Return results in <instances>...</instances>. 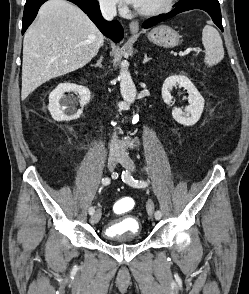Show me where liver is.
<instances>
[{"instance_id": "obj_1", "label": "liver", "mask_w": 249, "mask_h": 294, "mask_svg": "<svg viewBox=\"0 0 249 294\" xmlns=\"http://www.w3.org/2000/svg\"><path fill=\"white\" fill-rule=\"evenodd\" d=\"M103 42V35L76 5L48 0L24 35L21 98L50 79L85 66Z\"/></svg>"}]
</instances>
